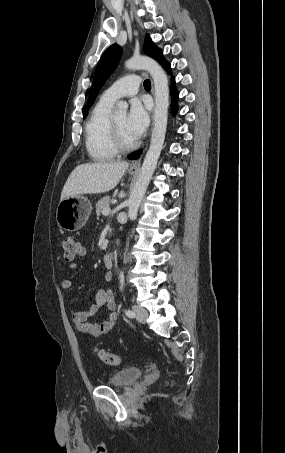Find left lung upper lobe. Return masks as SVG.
I'll use <instances>...</instances> for the list:
<instances>
[{"mask_svg": "<svg viewBox=\"0 0 285 453\" xmlns=\"http://www.w3.org/2000/svg\"><path fill=\"white\" fill-rule=\"evenodd\" d=\"M144 41H145V44L143 46L144 52L148 56L158 61V59L162 56L161 55L162 51L155 46V44L152 42L148 34L146 35ZM121 55H122L121 47L118 46L117 44H113L105 50L102 57L100 58L97 64V68L95 70L91 93L85 106L84 118L87 116L88 110L92 106L100 88L105 83L106 79L110 76V74L114 71V69L117 67Z\"/></svg>", "mask_w": 285, "mask_h": 453, "instance_id": "1", "label": "left lung upper lobe"}]
</instances>
